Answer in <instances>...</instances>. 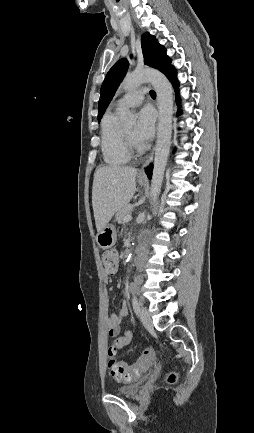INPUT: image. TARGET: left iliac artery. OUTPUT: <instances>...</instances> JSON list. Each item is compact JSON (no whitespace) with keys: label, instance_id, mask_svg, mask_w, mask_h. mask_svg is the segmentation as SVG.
<instances>
[{"label":"left iliac artery","instance_id":"1","mask_svg":"<svg viewBox=\"0 0 254 433\" xmlns=\"http://www.w3.org/2000/svg\"><path fill=\"white\" fill-rule=\"evenodd\" d=\"M132 305H133L134 312L138 315L140 312V308H139V302H138L136 296H133Z\"/></svg>","mask_w":254,"mask_h":433}]
</instances>
